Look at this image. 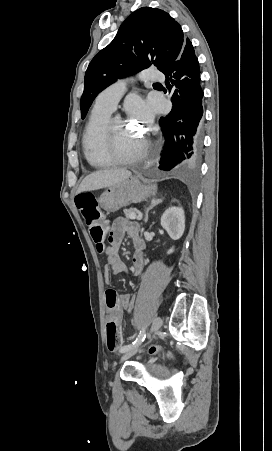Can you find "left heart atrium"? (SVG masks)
Here are the masks:
<instances>
[{
	"label": "left heart atrium",
	"mask_w": 272,
	"mask_h": 451,
	"mask_svg": "<svg viewBox=\"0 0 272 451\" xmlns=\"http://www.w3.org/2000/svg\"><path fill=\"white\" fill-rule=\"evenodd\" d=\"M127 110L133 121L150 126L152 123V110L148 103L137 100L128 104Z\"/></svg>",
	"instance_id": "left-heart-atrium-1"
}]
</instances>
